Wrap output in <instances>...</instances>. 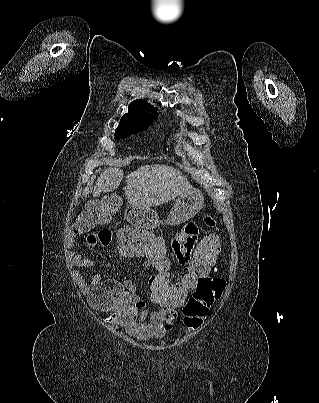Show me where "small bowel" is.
Listing matches in <instances>:
<instances>
[{
  "label": "small bowel",
  "mask_w": 319,
  "mask_h": 403,
  "mask_svg": "<svg viewBox=\"0 0 319 403\" xmlns=\"http://www.w3.org/2000/svg\"><path fill=\"white\" fill-rule=\"evenodd\" d=\"M199 232L200 225L190 222L185 225L183 233L178 234L174 242L172 241L171 248L180 265L186 266L191 262L193 256L190 250L194 248ZM81 234L75 231L73 236L77 237ZM113 237L114 230L106 225L102 229H90L89 235L85 237V248L105 249L110 245V238ZM69 259L74 268L71 271L72 277L87 294L90 309H100L107 329L123 328L127 334L141 341L162 339L171 330L177 313H157L156 310L149 309L138 296L136 284L131 279H125L121 285L120 279H102L100 274H94L91 281L87 282L85 276L76 269L90 268L92 263L73 250L69 252ZM210 272L212 276H215V282H222L223 270L220 265H213ZM195 289L200 290L198 285ZM191 296H198V292L194 290ZM178 334L176 329L177 337ZM190 336L189 334L187 339Z\"/></svg>",
  "instance_id": "c3829d8e"
}]
</instances>
